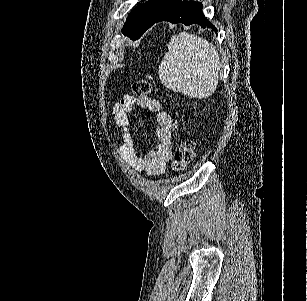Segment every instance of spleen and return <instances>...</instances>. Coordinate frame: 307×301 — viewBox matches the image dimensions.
<instances>
[{"label": "spleen", "mask_w": 307, "mask_h": 301, "mask_svg": "<svg viewBox=\"0 0 307 301\" xmlns=\"http://www.w3.org/2000/svg\"><path fill=\"white\" fill-rule=\"evenodd\" d=\"M220 56L212 42L189 34H173L158 68L160 82L192 98L214 94L220 78Z\"/></svg>", "instance_id": "3e777b00"}]
</instances>
